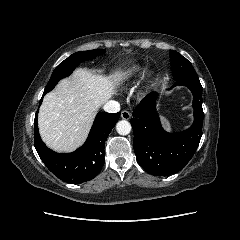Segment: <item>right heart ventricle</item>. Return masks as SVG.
Returning a JSON list of instances; mask_svg holds the SVG:
<instances>
[{
	"label": "right heart ventricle",
	"instance_id": "obj_1",
	"mask_svg": "<svg viewBox=\"0 0 240 240\" xmlns=\"http://www.w3.org/2000/svg\"><path fill=\"white\" fill-rule=\"evenodd\" d=\"M140 71V67L138 65H131L125 68L120 75V78L124 81H131L134 79Z\"/></svg>",
	"mask_w": 240,
	"mask_h": 240
}]
</instances>
